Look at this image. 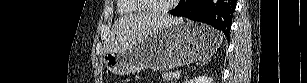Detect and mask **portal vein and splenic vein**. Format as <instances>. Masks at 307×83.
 <instances>
[{"mask_svg":"<svg viewBox=\"0 0 307 83\" xmlns=\"http://www.w3.org/2000/svg\"><path fill=\"white\" fill-rule=\"evenodd\" d=\"M174 78L179 79L180 78V74L179 73L174 74Z\"/></svg>","mask_w":307,"mask_h":83,"instance_id":"obj_1","label":"portal vein and splenic vein"}]
</instances>
